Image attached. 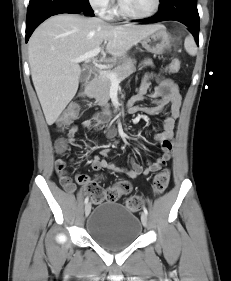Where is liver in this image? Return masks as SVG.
Wrapping results in <instances>:
<instances>
[{
    "label": "liver",
    "instance_id": "6515ba94",
    "mask_svg": "<svg viewBox=\"0 0 231 281\" xmlns=\"http://www.w3.org/2000/svg\"><path fill=\"white\" fill-rule=\"evenodd\" d=\"M162 25H110L99 18L60 14L43 22L28 42L32 81L46 122L52 125L75 96L81 69L71 62L106 44L110 62L121 58Z\"/></svg>",
    "mask_w": 231,
    "mask_h": 281
}]
</instances>
